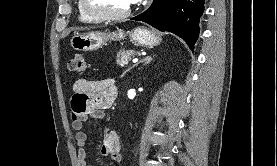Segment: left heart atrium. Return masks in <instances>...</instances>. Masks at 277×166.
I'll return each mask as SVG.
<instances>
[{"label":"left heart atrium","mask_w":277,"mask_h":166,"mask_svg":"<svg viewBox=\"0 0 277 166\" xmlns=\"http://www.w3.org/2000/svg\"><path fill=\"white\" fill-rule=\"evenodd\" d=\"M137 1H139V0H134V2H137Z\"/></svg>","instance_id":"1"}]
</instances>
